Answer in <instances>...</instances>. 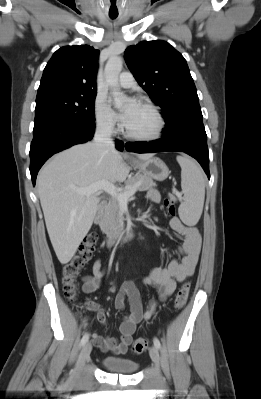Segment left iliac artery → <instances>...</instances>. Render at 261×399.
<instances>
[{
  "label": "left iliac artery",
  "instance_id": "left-iliac-artery-1",
  "mask_svg": "<svg viewBox=\"0 0 261 399\" xmlns=\"http://www.w3.org/2000/svg\"><path fill=\"white\" fill-rule=\"evenodd\" d=\"M153 343H154V346H155L157 349H160L161 344H160V341H159L158 338L155 337V338L153 339Z\"/></svg>",
  "mask_w": 261,
  "mask_h": 399
}]
</instances>
